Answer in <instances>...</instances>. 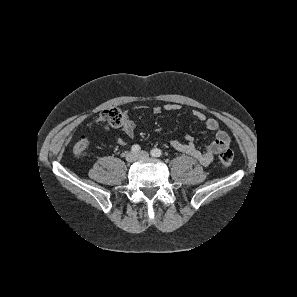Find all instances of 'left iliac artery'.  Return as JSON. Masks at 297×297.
Here are the masks:
<instances>
[{"label":"left iliac artery","instance_id":"1","mask_svg":"<svg viewBox=\"0 0 297 297\" xmlns=\"http://www.w3.org/2000/svg\"><path fill=\"white\" fill-rule=\"evenodd\" d=\"M162 154H163L162 151L158 148H154L151 150V155L153 157H160Z\"/></svg>","mask_w":297,"mask_h":297}]
</instances>
